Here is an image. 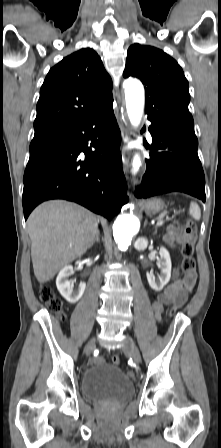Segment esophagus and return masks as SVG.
<instances>
[{
	"label": "esophagus",
	"mask_w": 221,
	"mask_h": 448,
	"mask_svg": "<svg viewBox=\"0 0 221 448\" xmlns=\"http://www.w3.org/2000/svg\"><path fill=\"white\" fill-rule=\"evenodd\" d=\"M120 130L122 135V141H123V148H122V161H123V169L124 172H127L128 168V157H129V150H128V142L130 140V129L127 124L120 123Z\"/></svg>",
	"instance_id": "obj_1"
}]
</instances>
